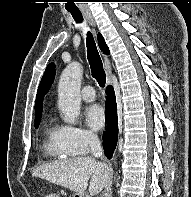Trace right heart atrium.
I'll use <instances>...</instances> for the list:
<instances>
[{
  "label": "right heart atrium",
  "mask_w": 191,
  "mask_h": 197,
  "mask_svg": "<svg viewBox=\"0 0 191 197\" xmlns=\"http://www.w3.org/2000/svg\"><path fill=\"white\" fill-rule=\"evenodd\" d=\"M60 135L62 147L70 156L87 153L98 141L91 131L73 125L61 126Z\"/></svg>",
  "instance_id": "right-heart-atrium-1"
}]
</instances>
